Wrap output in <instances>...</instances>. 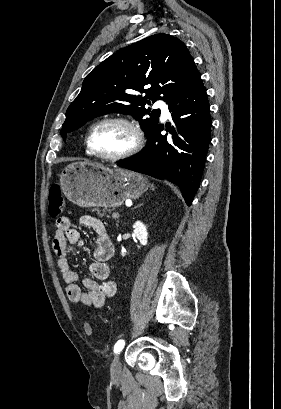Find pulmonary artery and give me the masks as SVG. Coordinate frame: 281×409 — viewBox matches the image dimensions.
Returning a JSON list of instances; mask_svg holds the SVG:
<instances>
[{
  "label": "pulmonary artery",
  "instance_id": "e3ab8cb5",
  "mask_svg": "<svg viewBox=\"0 0 281 409\" xmlns=\"http://www.w3.org/2000/svg\"><path fill=\"white\" fill-rule=\"evenodd\" d=\"M157 106L161 108V112L163 117L168 118L170 117V112H169V108L166 104L161 103V102H157Z\"/></svg>",
  "mask_w": 281,
  "mask_h": 409
}]
</instances>
